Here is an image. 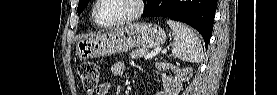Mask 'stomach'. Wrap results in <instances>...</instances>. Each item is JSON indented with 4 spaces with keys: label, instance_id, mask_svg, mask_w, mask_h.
<instances>
[{
    "label": "stomach",
    "instance_id": "obj_1",
    "mask_svg": "<svg viewBox=\"0 0 277 95\" xmlns=\"http://www.w3.org/2000/svg\"><path fill=\"white\" fill-rule=\"evenodd\" d=\"M166 40L165 31L152 23L129 24L109 32L83 39L76 45L81 60L126 52L132 48H155Z\"/></svg>",
    "mask_w": 277,
    "mask_h": 95
}]
</instances>
